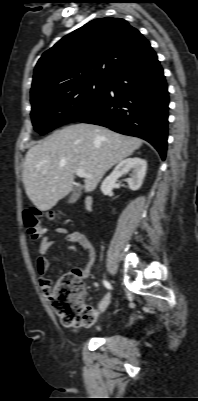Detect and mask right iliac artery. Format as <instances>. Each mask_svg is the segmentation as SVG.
Wrapping results in <instances>:
<instances>
[{
    "label": "right iliac artery",
    "mask_w": 198,
    "mask_h": 401,
    "mask_svg": "<svg viewBox=\"0 0 198 401\" xmlns=\"http://www.w3.org/2000/svg\"><path fill=\"white\" fill-rule=\"evenodd\" d=\"M103 284H104V286H105L106 288L112 289V287H111V285H110V283H109L108 281L103 280ZM105 301H106V297L103 299V302H105Z\"/></svg>",
    "instance_id": "right-iliac-artery-1"
}]
</instances>
